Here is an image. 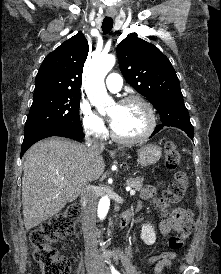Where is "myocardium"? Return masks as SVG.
Segmentation results:
<instances>
[{
    "mask_svg": "<svg viewBox=\"0 0 221 274\" xmlns=\"http://www.w3.org/2000/svg\"><path fill=\"white\" fill-rule=\"evenodd\" d=\"M130 103H139L145 108L148 116V125L146 130L136 137H122L115 132L113 127H111V137L122 144H136L145 141L152 135L157 125L155 109L148 100L139 95H130L122 98L118 102V105L122 106Z\"/></svg>",
    "mask_w": 221,
    "mask_h": 274,
    "instance_id": "myocardium-1",
    "label": "myocardium"
}]
</instances>
